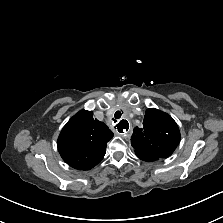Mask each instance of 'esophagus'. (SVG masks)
<instances>
[{
    "label": "esophagus",
    "mask_w": 223,
    "mask_h": 223,
    "mask_svg": "<svg viewBox=\"0 0 223 223\" xmlns=\"http://www.w3.org/2000/svg\"><path fill=\"white\" fill-rule=\"evenodd\" d=\"M131 130V125L126 121L122 120L117 125V132L121 136H128L129 132Z\"/></svg>",
    "instance_id": "obj_1"
}]
</instances>
